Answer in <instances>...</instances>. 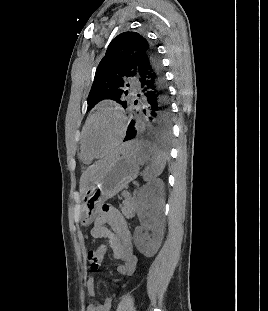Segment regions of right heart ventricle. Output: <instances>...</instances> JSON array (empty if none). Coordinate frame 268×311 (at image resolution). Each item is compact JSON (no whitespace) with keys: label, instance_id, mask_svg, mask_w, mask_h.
<instances>
[{"label":"right heart ventricle","instance_id":"obj_1","mask_svg":"<svg viewBox=\"0 0 268 311\" xmlns=\"http://www.w3.org/2000/svg\"><path fill=\"white\" fill-rule=\"evenodd\" d=\"M81 158L85 163H90L92 158H90L85 151L83 150V148H81Z\"/></svg>","mask_w":268,"mask_h":311}]
</instances>
